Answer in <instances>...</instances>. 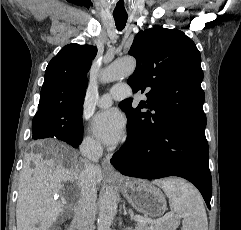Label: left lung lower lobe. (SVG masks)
I'll list each match as a JSON object with an SVG mask.
<instances>
[{
    "label": "left lung lower lobe",
    "mask_w": 241,
    "mask_h": 230,
    "mask_svg": "<svg viewBox=\"0 0 241 230\" xmlns=\"http://www.w3.org/2000/svg\"><path fill=\"white\" fill-rule=\"evenodd\" d=\"M127 127L126 143L111 159L116 170L145 179L185 178L199 189L210 209L212 179L205 129L169 125L148 135L135 120H129Z\"/></svg>",
    "instance_id": "0a47b994"
}]
</instances>
